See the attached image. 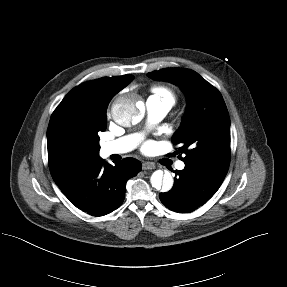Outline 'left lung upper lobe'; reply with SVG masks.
<instances>
[{"mask_svg": "<svg viewBox=\"0 0 287 287\" xmlns=\"http://www.w3.org/2000/svg\"><path fill=\"white\" fill-rule=\"evenodd\" d=\"M147 75L180 86L187 96V111L172 137L180 146L177 154H185L180 159L223 181L230 162V118L220 92L189 69L166 68Z\"/></svg>", "mask_w": 287, "mask_h": 287, "instance_id": "1", "label": "left lung upper lobe"}]
</instances>
